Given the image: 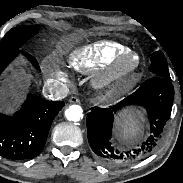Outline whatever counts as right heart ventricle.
I'll list each match as a JSON object with an SVG mask.
<instances>
[{"label":"right heart ventricle","instance_id":"right-heart-ventricle-1","mask_svg":"<svg viewBox=\"0 0 183 183\" xmlns=\"http://www.w3.org/2000/svg\"><path fill=\"white\" fill-rule=\"evenodd\" d=\"M128 50V47L114 41H98L73 50L67 62L76 72L87 73L106 66L114 56Z\"/></svg>","mask_w":183,"mask_h":183}]
</instances>
